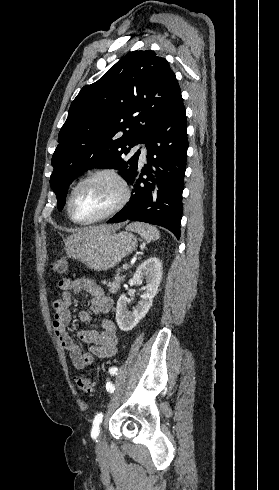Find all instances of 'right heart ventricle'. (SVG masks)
<instances>
[{"instance_id":"e07e8e85","label":"right heart ventricle","mask_w":279,"mask_h":490,"mask_svg":"<svg viewBox=\"0 0 279 490\" xmlns=\"http://www.w3.org/2000/svg\"><path fill=\"white\" fill-rule=\"evenodd\" d=\"M69 196H68L67 201H66V214H67L68 217H70L69 210H68Z\"/></svg>"}]
</instances>
